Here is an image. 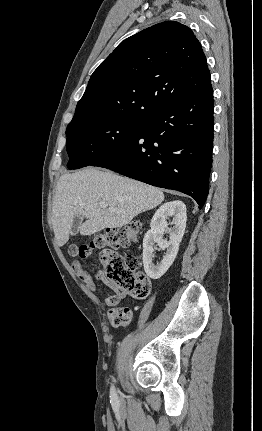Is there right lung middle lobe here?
<instances>
[{
  "instance_id": "1",
  "label": "right lung middle lobe",
  "mask_w": 262,
  "mask_h": 431,
  "mask_svg": "<svg viewBox=\"0 0 262 431\" xmlns=\"http://www.w3.org/2000/svg\"><path fill=\"white\" fill-rule=\"evenodd\" d=\"M142 119L114 118L80 122L67 127L69 169L89 166L127 141Z\"/></svg>"
}]
</instances>
